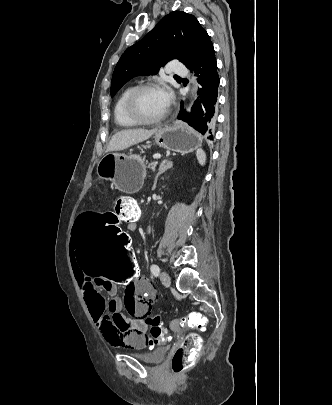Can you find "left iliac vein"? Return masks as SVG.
I'll use <instances>...</instances> for the list:
<instances>
[{
	"label": "left iliac vein",
	"instance_id": "4c4485c4",
	"mask_svg": "<svg viewBox=\"0 0 332 405\" xmlns=\"http://www.w3.org/2000/svg\"><path fill=\"white\" fill-rule=\"evenodd\" d=\"M160 280H161L162 284H163L164 286H166V287H169L170 284H171L170 276H169V274H168L167 272H165V271H162V272L160 273Z\"/></svg>",
	"mask_w": 332,
	"mask_h": 405
}]
</instances>
